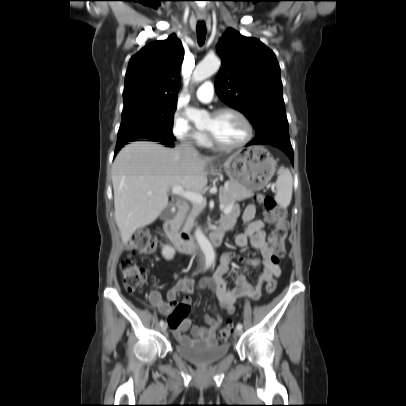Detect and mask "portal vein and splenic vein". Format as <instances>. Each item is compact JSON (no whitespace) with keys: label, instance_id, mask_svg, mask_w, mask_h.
<instances>
[{"label":"portal vein and splenic vein","instance_id":"1","mask_svg":"<svg viewBox=\"0 0 406 406\" xmlns=\"http://www.w3.org/2000/svg\"><path fill=\"white\" fill-rule=\"evenodd\" d=\"M172 193L177 194V195H179V196H181V197H183V198H185L187 200H190L191 202L196 203V204L204 203V198H203L202 195H200L198 193H194V192L185 191L183 189V187H181V186H174L172 188ZM232 207L233 206L230 205V206L225 208L223 205H220V209H222L224 214L230 213L231 210H232Z\"/></svg>","mask_w":406,"mask_h":406}]
</instances>
